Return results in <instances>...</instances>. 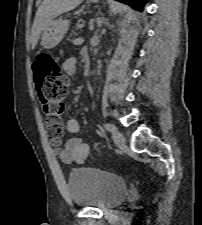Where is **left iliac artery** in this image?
<instances>
[{
  "instance_id": "obj_1",
  "label": "left iliac artery",
  "mask_w": 202,
  "mask_h": 225,
  "mask_svg": "<svg viewBox=\"0 0 202 225\" xmlns=\"http://www.w3.org/2000/svg\"><path fill=\"white\" fill-rule=\"evenodd\" d=\"M104 126H105V128H106L108 131H110V132H114V131L117 130V128H116L114 125L109 124V123L104 124Z\"/></svg>"
}]
</instances>
